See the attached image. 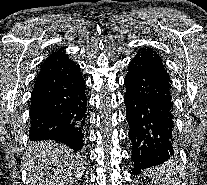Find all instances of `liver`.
Listing matches in <instances>:
<instances>
[{"label":"liver","mask_w":207,"mask_h":185,"mask_svg":"<svg viewBox=\"0 0 207 185\" xmlns=\"http://www.w3.org/2000/svg\"><path fill=\"white\" fill-rule=\"evenodd\" d=\"M26 167L29 185H35L37 175L45 177L46 185H75L84 173L72 149L56 141L37 143L31 149Z\"/></svg>","instance_id":"6515ba94"}]
</instances>
